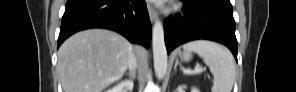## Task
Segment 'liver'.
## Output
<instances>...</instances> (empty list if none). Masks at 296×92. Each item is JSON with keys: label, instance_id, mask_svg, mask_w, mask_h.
Listing matches in <instances>:
<instances>
[{"label": "liver", "instance_id": "1", "mask_svg": "<svg viewBox=\"0 0 296 92\" xmlns=\"http://www.w3.org/2000/svg\"><path fill=\"white\" fill-rule=\"evenodd\" d=\"M131 54L130 42L113 31L74 34L58 50L57 71L64 92H102L123 76Z\"/></svg>", "mask_w": 296, "mask_h": 92}]
</instances>
